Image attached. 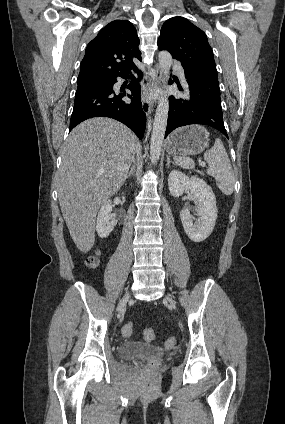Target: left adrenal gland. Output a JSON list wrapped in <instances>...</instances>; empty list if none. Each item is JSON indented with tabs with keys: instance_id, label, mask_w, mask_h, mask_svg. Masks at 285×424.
<instances>
[{
	"instance_id": "obj_1",
	"label": "left adrenal gland",
	"mask_w": 285,
	"mask_h": 424,
	"mask_svg": "<svg viewBox=\"0 0 285 424\" xmlns=\"http://www.w3.org/2000/svg\"><path fill=\"white\" fill-rule=\"evenodd\" d=\"M170 163H171V161H170V157H169V156H167V164H166V166H167V167H169V166H170Z\"/></svg>"
}]
</instances>
